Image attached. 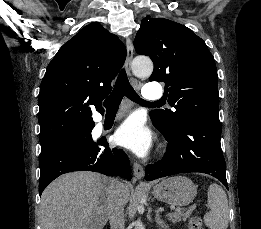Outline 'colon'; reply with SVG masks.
I'll list each match as a JSON object with an SVG mask.
<instances>
[{"instance_id": "1", "label": "colon", "mask_w": 261, "mask_h": 229, "mask_svg": "<svg viewBox=\"0 0 261 229\" xmlns=\"http://www.w3.org/2000/svg\"><path fill=\"white\" fill-rule=\"evenodd\" d=\"M187 229H202V218L196 216L188 221Z\"/></svg>"}]
</instances>
